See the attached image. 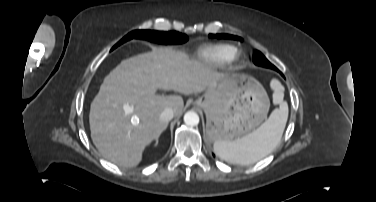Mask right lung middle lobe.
<instances>
[{
  "instance_id": "1",
  "label": "right lung middle lobe",
  "mask_w": 376,
  "mask_h": 202,
  "mask_svg": "<svg viewBox=\"0 0 376 202\" xmlns=\"http://www.w3.org/2000/svg\"><path fill=\"white\" fill-rule=\"evenodd\" d=\"M133 38L146 39L152 42L164 44H181L188 40V37L185 34L176 31L163 32L152 30H135L127 34L111 50Z\"/></svg>"
}]
</instances>
